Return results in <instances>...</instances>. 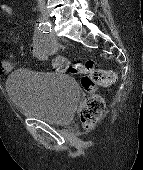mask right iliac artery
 Returning a JSON list of instances; mask_svg holds the SVG:
<instances>
[{
	"instance_id": "obj_1",
	"label": "right iliac artery",
	"mask_w": 143,
	"mask_h": 170,
	"mask_svg": "<svg viewBox=\"0 0 143 170\" xmlns=\"http://www.w3.org/2000/svg\"><path fill=\"white\" fill-rule=\"evenodd\" d=\"M51 25L49 24V22H45L44 20H40V22L38 23V30L43 32V33H49V31H51Z\"/></svg>"
}]
</instances>
